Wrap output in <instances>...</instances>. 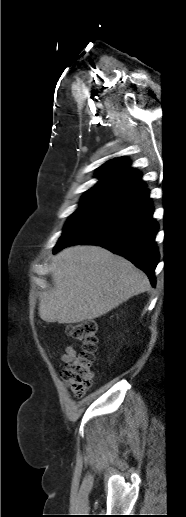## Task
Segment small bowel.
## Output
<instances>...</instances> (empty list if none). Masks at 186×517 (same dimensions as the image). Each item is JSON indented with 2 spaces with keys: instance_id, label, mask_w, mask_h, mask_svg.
<instances>
[{
  "instance_id": "1",
  "label": "small bowel",
  "mask_w": 186,
  "mask_h": 517,
  "mask_svg": "<svg viewBox=\"0 0 186 517\" xmlns=\"http://www.w3.org/2000/svg\"><path fill=\"white\" fill-rule=\"evenodd\" d=\"M75 354H76L75 347L70 345L66 348L65 352L61 355L60 360L63 363H68L69 361H71V359L73 358V356Z\"/></svg>"
}]
</instances>
